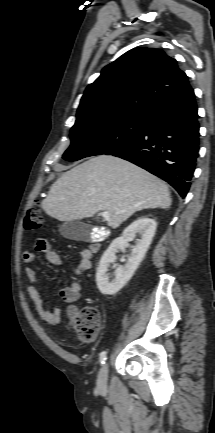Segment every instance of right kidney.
Returning a JSON list of instances; mask_svg holds the SVG:
<instances>
[{
  "mask_svg": "<svg viewBox=\"0 0 215 433\" xmlns=\"http://www.w3.org/2000/svg\"><path fill=\"white\" fill-rule=\"evenodd\" d=\"M156 227L157 223L154 219L142 217L129 225L121 237L112 241L102 255L96 272L97 286L102 294H116L131 279L152 242ZM137 234H139L140 239H137L136 245L133 246L126 265L117 267L115 278L109 281L107 271L110 263L115 262L118 250L124 252L128 241L135 238Z\"/></svg>",
  "mask_w": 215,
  "mask_h": 433,
  "instance_id": "ca27d5eb",
  "label": "right kidney"
}]
</instances>
